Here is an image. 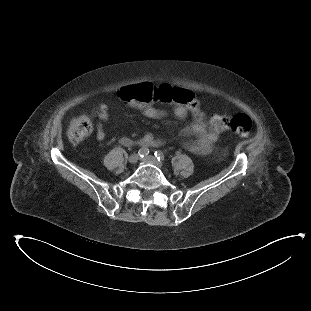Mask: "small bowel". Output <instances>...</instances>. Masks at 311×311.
<instances>
[{
  "label": "small bowel",
  "instance_id": "1",
  "mask_svg": "<svg viewBox=\"0 0 311 311\" xmlns=\"http://www.w3.org/2000/svg\"><path fill=\"white\" fill-rule=\"evenodd\" d=\"M142 110L144 116L152 120H158L165 116L164 110L149 104L143 106ZM173 114L176 118L182 120L187 117L188 112L185 107L179 105L174 108ZM108 119V109L104 106L98 114L97 138L100 141L105 139L103 124L108 121ZM184 133L194 137L193 141L187 143V149L198 156L209 154L212 149V144L218 140V133L208 131L201 122H195L187 126L184 129ZM121 143L123 145H131L134 142L129 138H122ZM139 143L143 146H154L158 144V140L152 134L147 133L139 140Z\"/></svg>",
  "mask_w": 311,
  "mask_h": 311
}]
</instances>
